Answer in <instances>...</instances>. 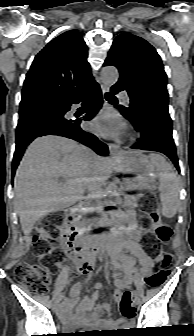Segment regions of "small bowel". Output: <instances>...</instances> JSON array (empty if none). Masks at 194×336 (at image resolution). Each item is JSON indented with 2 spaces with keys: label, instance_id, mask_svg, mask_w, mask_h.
<instances>
[{
  "label": "small bowel",
  "instance_id": "small-bowel-1",
  "mask_svg": "<svg viewBox=\"0 0 194 336\" xmlns=\"http://www.w3.org/2000/svg\"><path fill=\"white\" fill-rule=\"evenodd\" d=\"M127 226L125 228V239L118 242L111 252L113 267V283L116 286L115 298L122 299L121 289L129 287L132 283L141 284L142 277L152 274L154 260L148 256L140 245L142 232L137 226L134 219V212L127 211ZM127 250L129 254H125ZM136 259L139 261L141 268H136ZM75 263V262H74ZM79 272L88 275L92 267L88 264L75 263ZM59 267L60 264H57ZM101 285H96L94 292L79 302L81 285L75 284L70 291V297L65 300L61 309L63 322L68 325H87L91 327L102 323L106 326L114 324L111 318L101 319L103 312L109 313L111 307L108 303L95 304L99 298ZM124 326L132 324L130 319H123Z\"/></svg>",
  "mask_w": 194,
  "mask_h": 336
}]
</instances>
